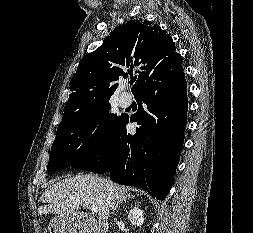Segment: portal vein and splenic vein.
I'll return each mask as SVG.
<instances>
[{
  "label": "portal vein and splenic vein",
  "mask_w": 253,
  "mask_h": 233,
  "mask_svg": "<svg viewBox=\"0 0 253 233\" xmlns=\"http://www.w3.org/2000/svg\"><path fill=\"white\" fill-rule=\"evenodd\" d=\"M90 210H91L92 213H97L98 212L97 206H94V205L90 206Z\"/></svg>",
  "instance_id": "obj_1"
}]
</instances>
